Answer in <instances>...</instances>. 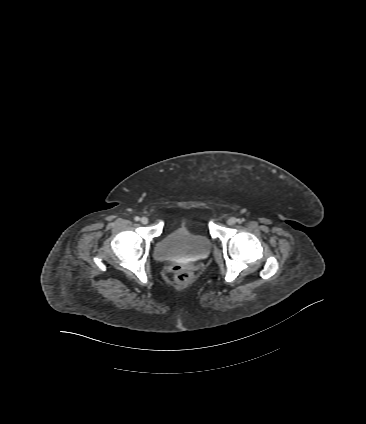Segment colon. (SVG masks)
Segmentation results:
<instances>
[{"instance_id": "1", "label": "colon", "mask_w": 366, "mask_h": 424, "mask_svg": "<svg viewBox=\"0 0 366 424\" xmlns=\"http://www.w3.org/2000/svg\"><path fill=\"white\" fill-rule=\"evenodd\" d=\"M174 277L178 283L185 284L189 282L191 278V272L184 266L176 265L171 268Z\"/></svg>"}]
</instances>
